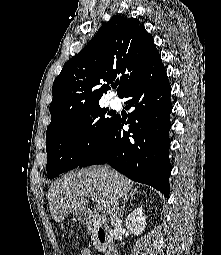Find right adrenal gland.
Here are the masks:
<instances>
[{
  "label": "right adrenal gland",
  "mask_w": 221,
  "mask_h": 255,
  "mask_svg": "<svg viewBox=\"0 0 221 255\" xmlns=\"http://www.w3.org/2000/svg\"><path fill=\"white\" fill-rule=\"evenodd\" d=\"M136 194H137V195H138V194H141V192L138 191L137 189H134V190H132V191L130 192L129 195L125 196L124 201H123V205H122V207H121V209H120V216H121V217H122L123 214H124L126 202H127L128 200H132L133 197H134Z\"/></svg>",
  "instance_id": "2a0ac1e0"
}]
</instances>
